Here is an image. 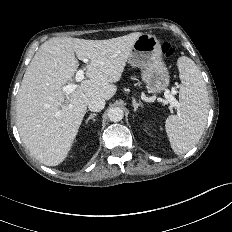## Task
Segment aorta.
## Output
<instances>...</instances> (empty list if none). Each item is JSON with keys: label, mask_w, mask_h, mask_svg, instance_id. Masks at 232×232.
Instances as JSON below:
<instances>
[{"label": "aorta", "mask_w": 232, "mask_h": 232, "mask_svg": "<svg viewBox=\"0 0 232 232\" xmlns=\"http://www.w3.org/2000/svg\"><path fill=\"white\" fill-rule=\"evenodd\" d=\"M124 116V112L123 109L120 107H112L109 109L108 111V118L112 121V122H119L122 120Z\"/></svg>", "instance_id": "762f6f07"}]
</instances>
